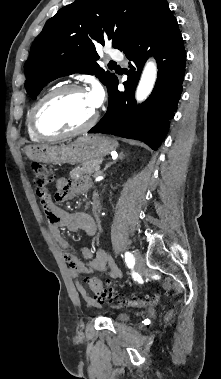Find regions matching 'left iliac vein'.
I'll return each instance as SVG.
<instances>
[{
    "label": "left iliac vein",
    "mask_w": 221,
    "mask_h": 379,
    "mask_svg": "<svg viewBox=\"0 0 221 379\" xmlns=\"http://www.w3.org/2000/svg\"><path fill=\"white\" fill-rule=\"evenodd\" d=\"M134 257H135V268L138 271V273L142 275L145 270V263H144L143 257L138 251L134 252Z\"/></svg>",
    "instance_id": "1"
}]
</instances>
